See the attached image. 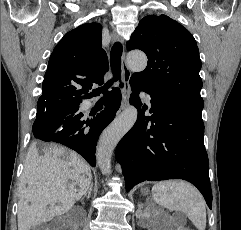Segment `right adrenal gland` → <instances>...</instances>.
I'll return each instance as SVG.
<instances>
[{
    "label": "right adrenal gland",
    "instance_id": "2a0ac1e0",
    "mask_svg": "<svg viewBox=\"0 0 241 230\" xmlns=\"http://www.w3.org/2000/svg\"><path fill=\"white\" fill-rule=\"evenodd\" d=\"M92 192V184L90 185L88 191L83 195V197L80 199L81 201L86 197L87 199L90 198Z\"/></svg>",
    "mask_w": 241,
    "mask_h": 230
}]
</instances>
